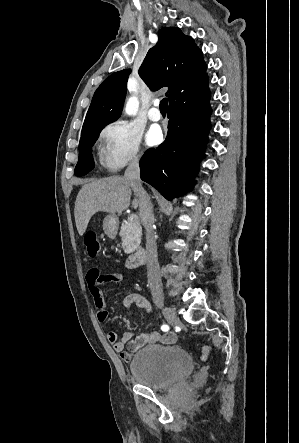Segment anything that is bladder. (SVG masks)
<instances>
[{
  "instance_id": "1",
  "label": "bladder",
  "mask_w": 299,
  "mask_h": 443,
  "mask_svg": "<svg viewBox=\"0 0 299 443\" xmlns=\"http://www.w3.org/2000/svg\"><path fill=\"white\" fill-rule=\"evenodd\" d=\"M192 369L191 355L177 345L146 347L129 364L131 376L151 389L172 386L187 378Z\"/></svg>"
}]
</instances>
